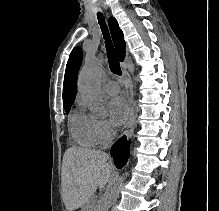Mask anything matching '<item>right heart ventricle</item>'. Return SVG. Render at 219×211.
Returning a JSON list of instances; mask_svg holds the SVG:
<instances>
[{"label":"right heart ventricle","instance_id":"obj_1","mask_svg":"<svg viewBox=\"0 0 219 211\" xmlns=\"http://www.w3.org/2000/svg\"><path fill=\"white\" fill-rule=\"evenodd\" d=\"M94 120L83 112H76L70 122V129L74 139L84 146H95L98 144L94 132Z\"/></svg>","mask_w":219,"mask_h":211}]
</instances>
